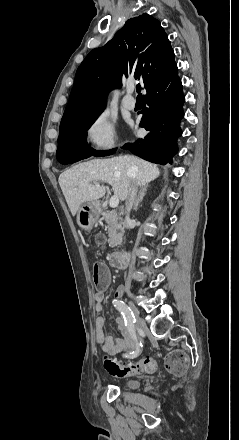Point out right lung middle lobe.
<instances>
[{"mask_svg": "<svg viewBox=\"0 0 239 440\" xmlns=\"http://www.w3.org/2000/svg\"><path fill=\"white\" fill-rule=\"evenodd\" d=\"M103 110L104 108L62 122L59 129L57 152L66 147L87 144L86 131Z\"/></svg>", "mask_w": 239, "mask_h": 440, "instance_id": "right-lung-middle-lobe-1", "label": "right lung middle lobe"}]
</instances>
